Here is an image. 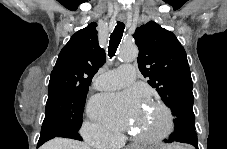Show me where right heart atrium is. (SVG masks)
I'll use <instances>...</instances> for the list:
<instances>
[{"mask_svg":"<svg viewBox=\"0 0 227 149\" xmlns=\"http://www.w3.org/2000/svg\"><path fill=\"white\" fill-rule=\"evenodd\" d=\"M81 133L86 142L93 146L113 145L115 136L102 125L93 121L84 122Z\"/></svg>","mask_w":227,"mask_h":149,"instance_id":"d8ad5b80","label":"right heart atrium"}]
</instances>
